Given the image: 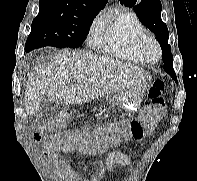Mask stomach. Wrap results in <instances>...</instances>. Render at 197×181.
Returning a JSON list of instances; mask_svg holds the SVG:
<instances>
[{"label":"stomach","mask_w":197,"mask_h":181,"mask_svg":"<svg viewBox=\"0 0 197 181\" xmlns=\"http://www.w3.org/2000/svg\"><path fill=\"white\" fill-rule=\"evenodd\" d=\"M146 87L147 83L145 81L141 82L127 90L110 96L109 101L112 102L114 106L127 112H135L141 106Z\"/></svg>","instance_id":"0dacf381"}]
</instances>
